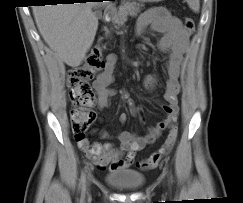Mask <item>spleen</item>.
Here are the masks:
<instances>
[{"instance_id": "1", "label": "spleen", "mask_w": 243, "mask_h": 203, "mask_svg": "<svg viewBox=\"0 0 243 203\" xmlns=\"http://www.w3.org/2000/svg\"><path fill=\"white\" fill-rule=\"evenodd\" d=\"M189 7L195 12L198 13L200 10L199 0H186Z\"/></svg>"}]
</instances>
